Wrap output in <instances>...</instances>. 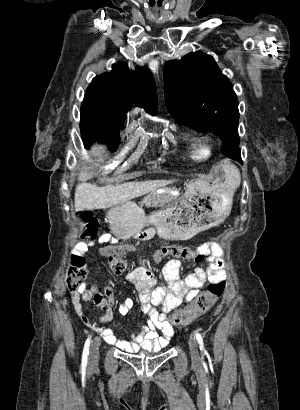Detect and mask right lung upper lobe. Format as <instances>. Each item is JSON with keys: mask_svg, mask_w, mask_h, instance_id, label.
<instances>
[{"mask_svg": "<svg viewBox=\"0 0 300 410\" xmlns=\"http://www.w3.org/2000/svg\"><path fill=\"white\" fill-rule=\"evenodd\" d=\"M135 71L122 63L114 65L112 72L96 76L86 93L99 98L102 112L108 117L124 121L131 102L155 115V82L145 67L137 66Z\"/></svg>", "mask_w": 300, "mask_h": 410, "instance_id": "right-lung-upper-lobe-1", "label": "right lung upper lobe"}]
</instances>
